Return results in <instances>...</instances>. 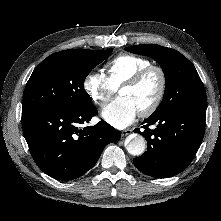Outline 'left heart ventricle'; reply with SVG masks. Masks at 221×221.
I'll use <instances>...</instances> for the list:
<instances>
[{"instance_id":"obj_1","label":"left heart ventricle","mask_w":221,"mask_h":221,"mask_svg":"<svg viewBox=\"0 0 221 221\" xmlns=\"http://www.w3.org/2000/svg\"><path fill=\"white\" fill-rule=\"evenodd\" d=\"M159 86V75L156 72H151L138 85L122 88L119 91V95L129 98L137 110L141 111L153 102Z\"/></svg>"}]
</instances>
